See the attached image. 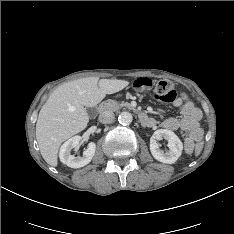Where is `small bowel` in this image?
<instances>
[{
    "instance_id": "small-bowel-1",
    "label": "small bowel",
    "mask_w": 234,
    "mask_h": 234,
    "mask_svg": "<svg viewBox=\"0 0 234 234\" xmlns=\"http://www.w3.org/2000/svg\"><path fill=\"white\" fill-rule=\"evenodd\" d=\"M173 106L180 109V118L169 117L162 122V127L165 130L175 131L182 130L189 135L186 141V148L189 150L193 140H199L203 136L202 129L200 127V120L202 118V112L192 102L184 103L179 97L169 101ZM150 121L145 126L154 127L156 121L153 118H149Z\"/></svg>"
}]
</instances>
